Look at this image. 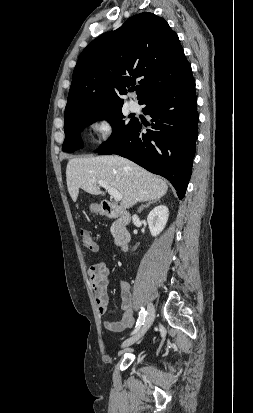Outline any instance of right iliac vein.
Masks as SVG:
<instances>
[{"label": "right iliac vein", "instance_id": "1", "mask_svg": "<svg viewBox=\"0 0 253 413\" xmlns=\"http://www.w3.org/2000/svg\"><path fill=\"white\" fill-rule=\"evenodd\" d=\"M154 317H155L154 305L152 303H149L148 307H147V316H146L144 325L142 326V328L134 336H132V337L128 338L127 340H125L122 344V347H128V346L134 344L135 342H137L142 336H144V334L147 332V330L152 325V323L154 321Z\"/></svg>", "mask_w": 253, "mask_h": 413}]
</instances>
